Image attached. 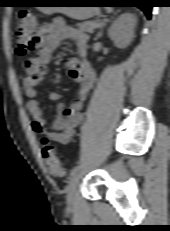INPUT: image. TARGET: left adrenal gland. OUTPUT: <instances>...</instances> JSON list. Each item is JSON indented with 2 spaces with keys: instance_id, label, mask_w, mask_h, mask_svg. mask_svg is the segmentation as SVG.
Wrapping results in <instances>:
<instances>
[{
  "instance_id": "obj_1",
  "label": "left adrenal gland",
  "mask_w": 170,
  "mask_h": 231,
  "mask_svg": "<svg viewBox=\"0 0 170 231\" xmlns=\"http://www.w3.org/2000/svg\"><path fill=\"white\" fill-rule=\"evenodd\" d=\"M106 21H107V20H106ZM106 21H105V22H106ZM104 25H105V23L103 24V26H104ZM100 35H101V33H99L97 37H100Z\"/></svg>"
}]
</instances>
